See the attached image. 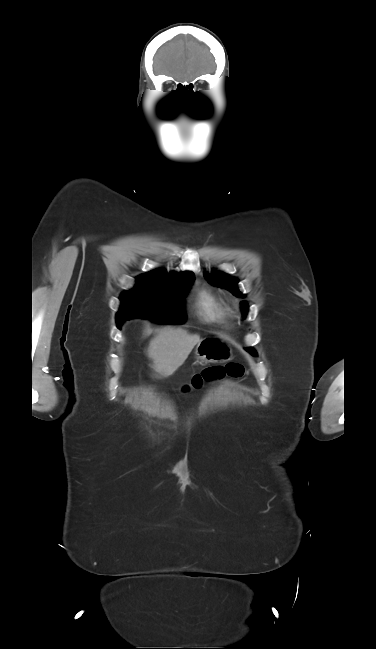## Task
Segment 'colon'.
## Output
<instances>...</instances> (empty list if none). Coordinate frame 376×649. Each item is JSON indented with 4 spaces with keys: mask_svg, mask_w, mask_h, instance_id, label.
<instances>
[{
    "mask_svg": "<svg viewBox=\"0 0 376 649\" xmlns=\"http://www.w3.org/2000/svg\"><path fill=\"white\" fill-rule=\"evenodd\" d=\"M244 367L239 363H228L225 366H212L207 367L197 372L191 380L183 385V392H190L200 389L207 383L230 377L240 379L244 376Z\"/></svg>",
    "mask_w": 376,
    "mask_h": 649,
    "instance_id": "colon-1",
    "label": "colon"
}]
</instances>
